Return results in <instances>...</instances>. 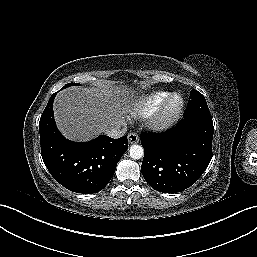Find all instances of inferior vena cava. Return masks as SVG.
I'll use <instances>...</instances> for the list:
<instances>
[{"label": "inferior vena cava", "instance_id": "1", "mask_svg": "<svg viewBox=\"0 0 257 257\" xmlns=\"http://www.w3.org/2000/svg\"><path fill=\"white\" fill-rule=\"evenodd\" d=\"M124 124V123H122ZM125 125V124H124ZM120 128V124L116 125L115 127H111L109 129L105 130V134L111 138H120L122 135L125 134L126 132V127L124 126V128L122 130L119 129Z\"/></svg>", "mask_w": 257, "mask_h": 257}]
</instances>
